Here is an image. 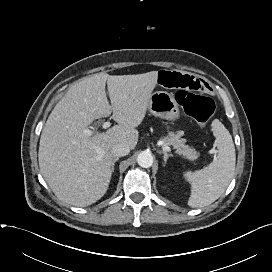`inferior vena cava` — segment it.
<instances>
[{"mask_svg":"<svg viewBox=\"0 0 272 272\" xmlns=\"http://www.w3.org/2000/svg\"><path fill=\"white\" fill-rule=\"evenodd\" d=\"M130 147L127 144L119 143L112 147L111 153L115 157H122L128 155Z\"/></svg>","mask_w":272,"mask_h":272,"instance_id":"1","label":"inferior vena cava"}]
</instances>
